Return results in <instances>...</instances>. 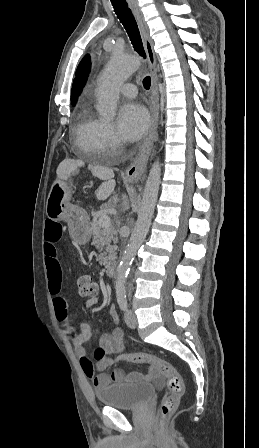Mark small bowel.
I'll list each match as a JSON object with an SVG mask.
<instances>
[{
    "mask_svg": "<svg viewBox=\"0 0 259 448\" xmlns=\"http://www.w3.org/2000/svg\"><path fill=\"white\" fill-rule=\"evenodd\" d=\"M63 227L60 222L48 220L44 228V259L47 276L49 280L50 292L53 295V307L56 318L60 322L63 331L73 343L76 355L79 357L83 372L89 377L97 389L110 385L111 383L142 382L158 377L157 367L150 365L146 373L132 372L124 373L121 370H114L111 373L101 372L113 364L111 357L99 361L94 365L87 357L84 344L92 336V328L89 323H83L80 331L72 325L68 311V302L62 289V271L58 258V242L61 238ZM98 303V297L92 296L86 301V309L89 310ZM110 316L114 322L118 323V315L114 309L110 310ZM100 347L108 355L121 353L123 346V332L120 328L112 333L103 335L100 339Z\"/></svg>",
    "mask_w": 259,
    "mask_h": 448,
    "instance_id": "1",
    "label": "small bowel"
}]
</instances>
